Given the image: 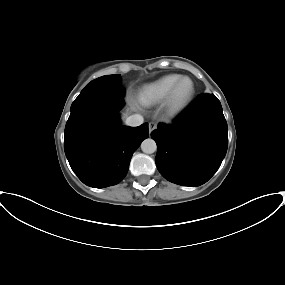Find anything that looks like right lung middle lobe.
Returning <instances> with one entry per match:
<instances>
[{
	"instance_id": "right-lung-middle-lobe-1",
	"label": "right lung middle lobe",
	"mask_w": 285,
	"mask_h": 285,
	"mask_svg": "<svg viewBox=\"0 0 285 285\" xmlns=\"http://www.w3.org/2000/svg\"><path fill=\"white\" fill-rule=\"evenodd\" d=\"M119 77L120 74L106 75L91 81L85 86V88L81 91L79 96L72 103L71 109L75 108L86 98L94 95L110 93V92H117L123 95L124 93L123 89L118 88L120 84Z\"/></svg>"
}]
</instances>
